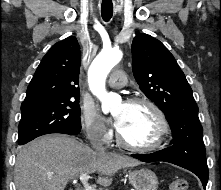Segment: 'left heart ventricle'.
<instances>
[{
  "instance_id": "b2bd125f",
  "label": "left heart ventricle",
  "mask_w": 221,
  "mask_h": 190,
  "mask_svg": "<svg viewBox=\"0 0 221 190\" xmlns=\"http://www.w3.org/2000/svg\"><path fill=\"white\" fill-rule=\"evenodd\" d=\"M115 114L123 115V122L118 129L122 137L134 145H147L154 141L158 124L153 111L146 105L120 104Z\"/></svg>"
}]
</instances>
